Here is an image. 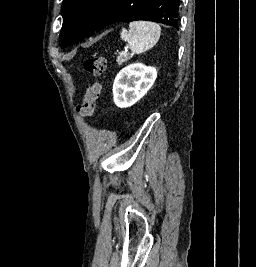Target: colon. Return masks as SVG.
Returning <instances> with one entry per match:
<instances>
[{
  "mask_svg": "<svg viewBox=\"0 0 256 267\" xmlns=\"http://www.w3.org/2000/svg\"><path fill=\"white\" fill-rule=\"evenodd\" d=\"M84 69L90 75L100 76L107 69V61L102 56L89 57L84 62ZM101 90L100 83L94 82L91 84L85 97L76 105V111L79 115L85 118L93 115Z\"/></svg>",
  "mask_w": 256,
  "mask_h": 267,
  "instance_id": "colon-1",
  "label": "colon"
}]
</instances>
